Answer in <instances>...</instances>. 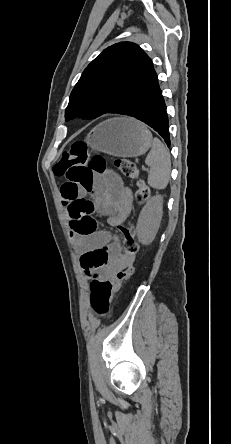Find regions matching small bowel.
<instances>
[{
  "instance_id": "c3829d8e",
  "label": "small bowel",
  "mask_w": 231,
  "mask_h": 444,
  "mask_svg": "<svg viewBox=\"0 0 231 444\" xmlns=\"http://www.w3.org/2000/svg\"><path fill=\"white\" fill-rule=\"evenodd\" d=\"M87 194L93 196L97 213L108 217L111 226L118 227L131 212L132 193L114 171L96 176L90 188H74L68 183L61 188L62 202L72 230V238L81 253V266L91 279H104L121 270L128 259L120 253L118 244L109 243V236L106 233L81 236L75 232L70 206L74 201L84 199Z\"/></svg>"
}]
</instances>
